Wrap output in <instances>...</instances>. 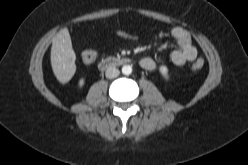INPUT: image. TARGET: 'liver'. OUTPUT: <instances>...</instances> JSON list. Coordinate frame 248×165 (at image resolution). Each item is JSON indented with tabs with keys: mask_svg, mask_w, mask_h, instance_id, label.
Returning <instances> with one entry per match:
<instances>
[{
	"mask_svg": "<svg viewBox=\"0 0 248 165\" xmlns=\"http://www.w3.org/2000/svg\"><path fill=\"white\" fill-rule=\"evenodd\" d=\"M50 58L57 80L63 84L70 81L76 71V55L67 28L61 29L53 38Z\"/></svg>",
	"mask_w": 248,
	"mask_h": 165,
	"instance_id": "1",
	"label": "liver"
}]
</instances>
